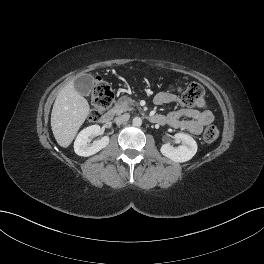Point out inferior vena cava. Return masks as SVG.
I'll return each instance as SVG.
<instances>
[{"label":"inferior vena cava","mask_w":264,"mask_h":264,"mask_svg":"<svg viewBox=\"0 0 264 264\" xmlns=\"http://www.w3.org/2000/svg\"><path fill=\"white\" fill-rule=\"evenodd\" d=\"M129 118H130V115L128 113H126V114H123L119 117H116L114 121L117 125H121V124L127 122L129 120Z\"/></svg>","instance_id":"obj_1"}]
</instances>
